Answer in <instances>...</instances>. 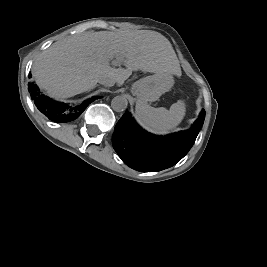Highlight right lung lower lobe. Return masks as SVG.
Here are the masks:
<instances>
[{
  "label": "right lung lower lobe",
  "instance_id": "1",
  "mask_svg": "<svg viewBox=\"0 0 267 267\" xmlns=\"http://www.w3.org/2000/svg\"><path fill=\"white\" fill-rule=\"evenodd\" d=\"M29 77H31V74H29ZM28 85L31 99L34 101L37 109L55 122H69L78 118L86 107L95 100V98L88 99L79 106L71 107L40 94L37 85L34 83H29Z\"/></svg>",
  "mask_w": 267,
  "mask_h": 267
}]
</instances>
